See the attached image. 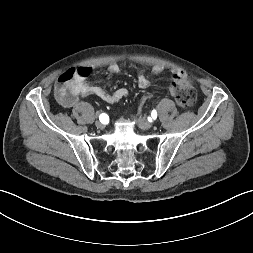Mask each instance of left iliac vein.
I'll return each mask as SVG.
<instances>
[{"mask_svg":"<svg viewBox=\"0 0 253 253\" xmlns=\"http://www.w3.org/2000/svg\"><path fill=\"white\" fill-rule=\"evenodd\" d=\"M138 122L142 129H150L154 126L153 123L147 121L144 117H139Z\"/></svg>","mask_w":253,"mask_h":253,"instance_id":"1","label":"left iliac vein"}]
</instances>
